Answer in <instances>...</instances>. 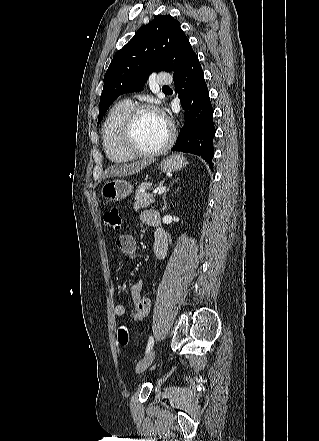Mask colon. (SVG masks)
<instances>
[{"label": "colon", "mask_w": 319, "mask_h": 441, "mask_svg": "<svg viewBox=\"0 0 319 441\" xmlns=\"http://www.w3.org/2000/svg\"><path fill=\"white\" fill-rule=\"evenodd\" d=\"M103 221L105 225L113 230H120L122 227V217L118 207H110L105 210L103 214ZM118 342L120 345L125 346L128 343V329L122 325L117 331Z\"/></svg>", "instance_id": "colon-1"}]
</instances>
